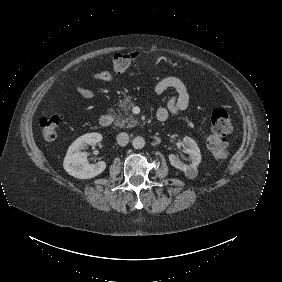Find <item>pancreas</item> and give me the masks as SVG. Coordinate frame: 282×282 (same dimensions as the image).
<instances>
[{
	"instance_id": "pancreas-1",
	"label": "pancreas",
	"mask_w": 282,
	"mask_h": 282,
	"mask_svg": "<svg viewBox=\"0 0 282 282\" xmlns=\"http://www.w3.org/2000/svg\"><path fill=\"white\" fill-rule=\"evenodd\" d=\"M134 106L133 102L125 99L119 104L120 109H117L118 116L115 120V125L119 127H134L138 124V119L134 117V114L130 113V109ZM110 111H113L110 109Z\"/></svg>"
}]
</instances>
